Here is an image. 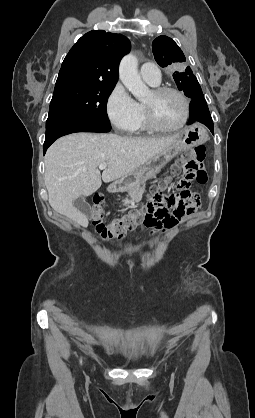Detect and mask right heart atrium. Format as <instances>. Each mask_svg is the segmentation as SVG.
<instances>
[{"instance_id": "right-heart-atrium-1", "label": "right heart atrium", "mask_w": 255, "mask_h": 418, "mask_svg": "<svg viewBox=\"0 0 255 418\" xmlns=\"http://www.w3.org/2000/svg\"><path fill=\"white\" fill-rule=\"evenodd\" d=\"M106 114L110 123L119 131L130 132L140 119V106L125 87L118 83L106 100Z\"/></svg>"}]
</instances>
